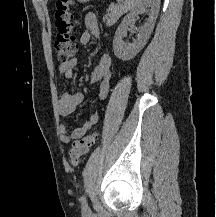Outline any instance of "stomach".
I'll use <instances>...</instances> for the list:
<instances>
[{"label":"stomach","instance_id":"1","mask_svg":"<svg viewBox=\"0 0 216 217\" xmlns=\"http://www.w3.org/2000/svg\"><path fill=\"white\" fill-rule=\"evenodd\" d=\"M78 2L80 3H86V2H89V1H92V0H77Z\"/></svg>","mask_w":216,"mask_h":217}]
</instances>
